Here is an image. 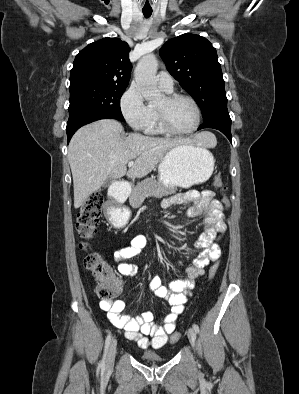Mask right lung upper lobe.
Instances as JSON below:
<instances>
[{
	"label": "right lung upper lobe",
	"instance_id": "right-lung-upper-lobe-1",
	"mask_svg": "<svg viewBox=\"0 0 299 394\" xmlns=\"http://www.w3.org/2000/svg\"><path fill=\"white\" fill-rule=\"evenodd\" d=\"M130 47L118 38H103L81 50L70 72V87L84 84L128 86Z\"/></svg>",
	"mask_w": 299,
	"mask_h": 394
}]
</instances>
